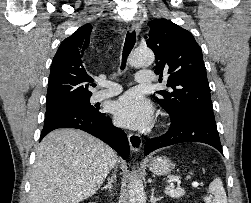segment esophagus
Returning <instances> with one entry per match:
<instances>
[{"label":"esophagus","instance_id":"obj_1","mask_svg":"<svg viewBox=\"0 0 251 203\" xmlns=\"http://www.w3.org/2000/svg\"><path fill=\"white\" fill-rule=\"evenodd\" d=\"M132 30L136 31L137 33L140 31V25L137 22L132 23ZM128 141L130 148L133 152H138L142 147V139L140 135L135 133L128 134Z\"/></svg>","mask_w":251,"mask_h":203}]
</instances>
